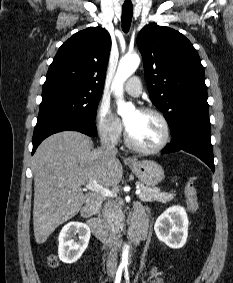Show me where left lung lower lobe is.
<instances>
[{"label":"left lung lower lobe","instance_id":"0a47b994","mask_svg":"<svg viewBox=\"0 0 233 283\" xmlns=\"http://www.w3.org/2000/svg\"><path fill=\"white\" fill-rule=\"evenodd\" d=\"M171 132L173 138L162 150V154L180 150L189 152L204 161L214 172L209 118L189 119Z\"/></svg>","mask_w":233,"mask_h":283}]
</instances>
